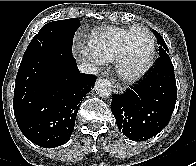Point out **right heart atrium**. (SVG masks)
<instances>
[{"label": "right heart atrium", "mask_w": 196, "mask_h": 166, "mask_svg": "<svg viewBox=\"0 0 196 166\" xmlns=\"http://www.w3.org/2000/svg\"><path fill=\"white\" fill-rule=\"evenodd\" d=\"M76 50L77 52L84 58L92 61V62H95V63H98L100 60L97 59L89 50L88 47H85L84 45L82 44H78L76 45Z\"/></svg>", "instance_id": "d8ad5b80"}]
</instances>
